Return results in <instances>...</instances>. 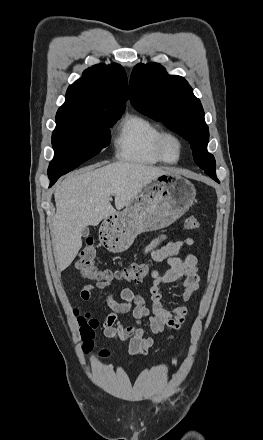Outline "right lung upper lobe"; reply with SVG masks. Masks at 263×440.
<instances>
[{
	"mask_svg": "<svg viewBox=\"0 0 263 440\" xmlns=\"http://www.w3.org/2000/svg\"><path fill=\"white\" fill-rule=\"evenodd\" d=\"M128 92L127 76L120 65H94L84 71L83 78L69 86L56 121L78 120L101 113L122 114Z\"/></svg>",
	"mask_w": 263,
	"mask_h": 440,
	"instance_id": "right-lung-upper-lobe-1",
	"label": "right lung upper lobe"
}]
</instances>
